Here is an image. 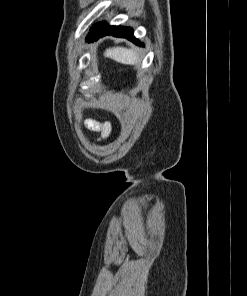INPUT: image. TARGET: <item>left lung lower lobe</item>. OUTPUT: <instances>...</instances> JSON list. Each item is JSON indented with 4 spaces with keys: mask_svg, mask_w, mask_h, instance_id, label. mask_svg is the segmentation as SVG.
I'll list each match as a JSON object with an SVG mask.
<instances>
[{
    "mask_svg": "<svg viewBox=\"0 0 247 296\" xmlns=\"http://www.w3.org/2000/svg\"><path fill=\"white\" fill-rule=\"evenodd\" d=\"M110 34L115 37H123L130 40L133 39V41L136 44L142 46V43H140L137 39L133 37L132 28L122 27V26H108L105 23L94 25L89 35L87 36V40L88 42H92L99 39L102 36L110 35Z\"/></svg>",
    "mask_w": 247,
    "mask_h": 296,
    "instance_id": "0a47b994",
    "label": "left lung lower lobe"
}]
</instances>
